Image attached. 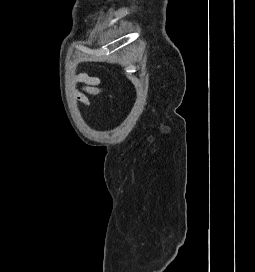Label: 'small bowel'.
<instances>
[{"instance_id": "small-bowel-1", "label": "small bowel", "mask_w": 255, "mask_h": 272, "mask_svg": "<svg viewBox=\"0 0 255 272\" xmlns=\"http://www.w3.org/2000/svg\"><path fill=\"white\" fill-rule=\"evenodd\" d=\"M76 81L87 87V91L91 95H97L99 93V80L96 77L90 76L85 73H80L76 76ZM76 98L78 102L84 105H91V99L83 91H77Z\"/></svg>"}]
</instances>
